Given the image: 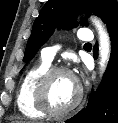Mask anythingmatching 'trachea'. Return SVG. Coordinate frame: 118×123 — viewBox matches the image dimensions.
<instances>
[{"label": "trachea", "instance_id": "1", "mask_svg": "<svg viewBox=\"0 0 118 123\" xmlns=\"http://www.w3.org/2000/svg\"><path fill=\"white\" fill-rule=\"evenodd\" d=\"M87 45H91V43H86Z\"/></svg>", "mask_w": 118, "mask_h": 123}]
</instances>
